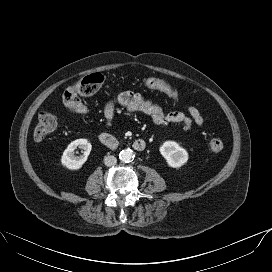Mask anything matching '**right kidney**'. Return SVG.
<instances>
[{
  "label": "right kidney",
  "mask_w": 272,
  "mask_h": 272,
  "mask_svg": "<svg viewBox=\"0 0 272 272\" xmlns=\"http://www.w3.org/2000/svg\"><path fill=\"white\" fill-rule=\"evenodd\" d=\"M83 149V156H76L75 149ZM92 145L87 139H77L71 142L68 147L64 150L61 157V163L63 166L70 170H78L87 160L90 154Z\"/></svg>",
  "instance_id": "right-kidney-1"
}]
</instances>
